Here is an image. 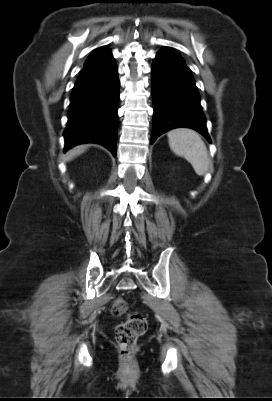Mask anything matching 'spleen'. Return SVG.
<instances>
[{"label":"spleen","mask_w":272,"mask_h":401,"mask_svg":"<svg viewBox=\"0 0 272 401\" xmlns=\"http://www.w3.org/2000/svg\"><path fill=\"white\" fill-rule=\"evenodd\" d=\"M171 150L184 157L196 174L203 176L209 167V156L205 143L199 134L191 129H175L168 133Z\"/></svg>","instance_id":"obj_1"}]
</instances>
